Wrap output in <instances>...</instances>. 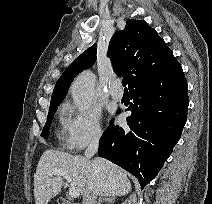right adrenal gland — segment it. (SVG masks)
<instances>
[{"mask_svg": "<svg viewBox=\"0 0 212 204\" xmlns=\"http://www.w3.org/2000/svg\"><path fill=\"white\" fill-rule=\"evenodd\" d=\"M114 199V197H100L97 204H101L104 201L112 204Z\"/></svg>", "mask_w": 212, "mask_h": 204, "instance_id": "right-adrenal-gland-1", "label": "right adrenal gland"}]
</instances>
